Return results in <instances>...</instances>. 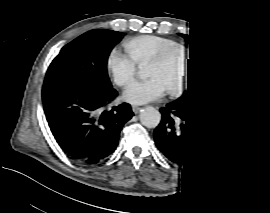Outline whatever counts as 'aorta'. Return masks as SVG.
<instances>
[{"label": "aorta", "instance_id": "1", "mask_svg": "<svg viewBox=\"0 0 270 213\" xmlns=\"http://www.w3.org/2000/svg\"><path fill=\"white\" fill-rule=\"evenodd\" d=\"M140 121L144 126L154 128L160 122V113L154 107H145L140 112Z\"/></svg>", "mask_w": 270, "mask_h": 213}]
</instances>
